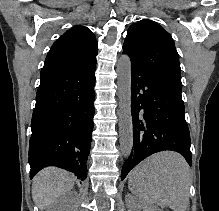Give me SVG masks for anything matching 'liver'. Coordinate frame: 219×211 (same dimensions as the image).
I'll use <instances>...</instances> for the list:
<instances>
[{"label": "liver", "mask_w": 219, "mask_h": 211, "mask_svg": "<svg viewBox=\"0 0 219 211\" xmlns=\"http://www.w3.org/2000/svg\"><path fill=\"white\" fill-rule=\"evenodd\" d=\"M75 177L60 167H44L32 181V197L39 209L49 207L57 197L71 191Z\"/></svg>", "instance_id": "1"}]
</instances>
